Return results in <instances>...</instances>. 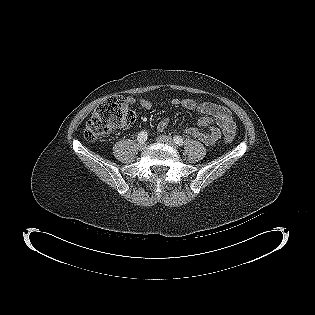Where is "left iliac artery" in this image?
Returning a JSON list of instances; mask_svg holds the SVG:
<instances>
[{"instance_id": "left-iliac-artery-1", "label": "left iliac artery", "mask_w": 315, "mask_h": 315, "mask_svg": "<svg viewBox=\"0 0 315 315\" xmlns=\"http://www.w3.org/2000/svg\"><path fill=\"white\" fill-rule=\"evenodd\" d=\"M174 142L176 144H178L179 146H182L183 145V139L180 137V136H175L174 137Z\"/></svg>"}]
</instances>
